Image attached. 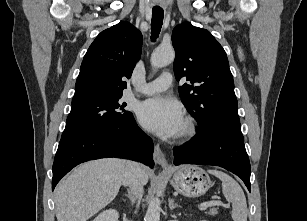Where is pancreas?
<instances>
[{"instance_id":"obj_1","label":"pancreas","mask_w":307,"mask_h":221,"mask_svg":"<svg viewBox=\"0 0 307 221\" xmlns=\"http://www.w3.org/2000/svg\"><path fill=\"white\" fill-rule=\"evenodd\" d=\"M208 215H211V216H215L218 214V211H217V208H212L210 209L208 212H206Z\"/></svg>"}]
</instances>
